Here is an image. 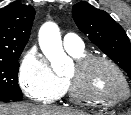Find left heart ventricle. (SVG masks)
I'll return each mask as SVG.
<instances>
[{"mask_svg":"<svg viewBox=\"0 0 131 115\" xmlns=\"http://www.w3.org/2000/svg\"><path fill=\"white\" fill-rule=\"evenodd\" d=\"M76 75L73 67L67 77ZM83 88L86 92L103 98H118L124 93V86L118 74L109 66L103 63L91 65L83 75Z\"/></svg>","mask_w":131,"mask_h":115,"instance_id":"left-heart-ventricle-1","label":"left heart ventricle"}]
</instances>
